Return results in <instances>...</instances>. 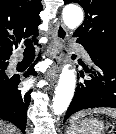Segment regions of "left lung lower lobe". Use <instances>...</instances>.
Returning <instances> with one entry per match:
<instances>
[{
    "mask_svg": "<svg viewBox=\"0 0 116 134\" xmlns=\"http://www.w3.org/2000/svg\"><path fill=\"white\" fill-rule=\"evenodd\" d=\"M84 48L94 63L92 69L85 70L91 79L78 84L64 122L81 110L98 107L116 108V54L95 51L85 46ZM77 76L84 77V72L80 71Z\"/></svg>",
    "mask_w": 116,
    "mask_h": 134,
    "instance_id": "1",
    "label": "left lung lower lobe"
}]
</instances>
